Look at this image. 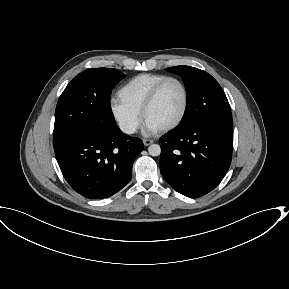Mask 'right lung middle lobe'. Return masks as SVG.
<instances>
[{"mask_svg":"<svg viewBox=\"0 0 289 289\" xmlns=\"http://www.w3.org/2000/svg\"><path fill=\"white\" fill-rule=\"evenodd\" d=\"M124 77L123 73L111 68H90L77 75L58 100L53 146H59L89 129L115 127L110 95Z\"/></svg>","mask_w":289,"mask_h":289,"instance_id":"dd1d6c3e","label":"right lung middle lobe"}]
</instances>
